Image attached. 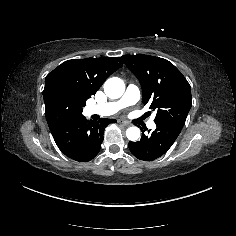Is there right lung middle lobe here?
<instances>
[{"instance_id":"1","label":"right lung middle lobe","mask_w":236,"mask_h":236,"mask_svg":"<svg viewBox=\"0 0 236 236\" xmlns=\"http://www.w3.org/2000/svg\"><path fill=\"white\" fill-rule=\"evenodd\" d=\"M45 115L49 127L82 114V106L69 103L58 90H51L44 95Z\"/></svg>"}]
</instances>
